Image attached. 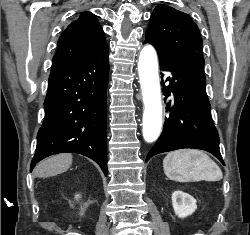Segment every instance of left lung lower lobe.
I'll return each mask as SVG.
<instances>
[{
  "label": "left lung lower lobe",
  "instance_id": "1",
  "mask_svg": "<svg viewBox=\"0 0 250 235\" xmlns=\"http://www.w3.org/2000/svg\"><path fill=\"white\" fill-rule=\"evenodd\" d=\"M158 56L161 70L171 71L173 75L166 79L168 86L163 83L164 100L171 93L174 99L167 104L168 116L165 118L163 132L148 153L146 162L159 153L194 148L212 153L225 165L206 94L204 58L199 52ZM163 76L161 73L162 82Z\"/></svg>",
  "mask_w": 250,
  "mask_h": 235
}]
</instances>
